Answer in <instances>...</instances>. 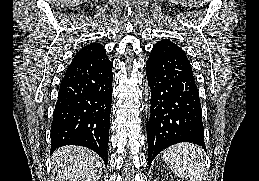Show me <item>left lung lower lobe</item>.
<instances>
[{
  "mask_svg": "<svg viewBox=\"0 0 259 181\" xmlns=\"http://www.w3.org/2000/svg\"><path fill=\"white\" fill-rule=\"evenodd\" d=\"M146 69L151 89L149 166L163 149L176 143L191 142L205 149L199 93L185 52L163 39L153 46Z\"/></svg>",
  "mask_w": 259,
  "mask_h": 181,
  "instance_id": "obj_1",
  "label": "left lung lower lobe"
}]
</instances>
